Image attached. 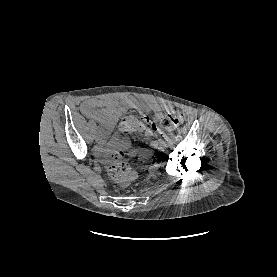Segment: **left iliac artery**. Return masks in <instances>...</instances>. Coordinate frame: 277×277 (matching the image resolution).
I'll return each instance as SVG.
<instances>
[{
	"instance_id": "1",
	"label": "left iliac artery",
	"mask_w": 277,
	"mask_h": 277,
	"mask_svg": "<svg viewBox=\"0 0 277 277\" xmlns=\"http://www.w3.org/2000/svg\"><path fill=\"white\" fill-rule=\"evenodd\" d=\"M164 140L167 141V142H172V136L166 135L164 137Z\"/></svg>"
}]
</instances>
